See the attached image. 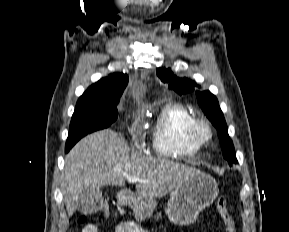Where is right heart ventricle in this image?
<instances>
[{"mask_svg":"<svg viewBox=\"0 0 289 232\" xmlns=\"http://www.w3.org/2000/svg\"><path fill=\"white\" fill-rule=\"evenodd\" d=\"M192 113L181 104H167L157 115L152 134L153 150L161 156H188L195 154L200 145L187 133Z\"/></svg>","mask_w":289,"mask_h":232,"instance_id":"e07e8e85","label":"right heart ventricle"}]
</instances>
